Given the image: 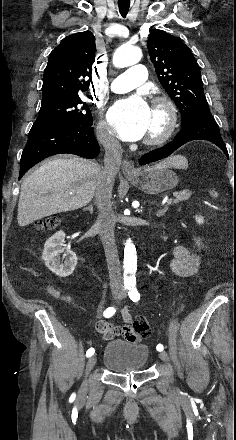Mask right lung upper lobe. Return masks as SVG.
Returning a JSON list of instances; mask_svg holds the SVG:
<instances>
[{"label":"right lung upper lobe","instance_id":"obj_1","mask_svg":"<svg viewBox=\"0 0 236 440\" xmlns=\"http://www.w3.org/2000/svg\"><path fill=\"white\" fill-rule=\"evenodd\" d=\"M95 50V37L90 31L61 41L50 53L44 71L42 105L78 97L89 89Z\"/></svg>","mask_w":236,"mask_h":440}]
</instances>
